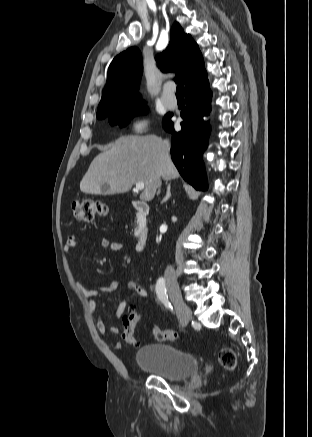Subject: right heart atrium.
<instances>
[{"mask_svg": "<svg viewBox=\"0 0 312 437\" xmlns=\"http://www.w3.org/2000/svg\"><path fill=\"white\" fill-rule=\"evenodd\" d=\"M147 126H148V120L145 118H139L135 120L132 124L133 130L137 133L144 132Z\"/></svg>", "mask_w": 312, "mask_h": 437, "instance_id": "1", "label": "right heart atrium"}]
</instances>
